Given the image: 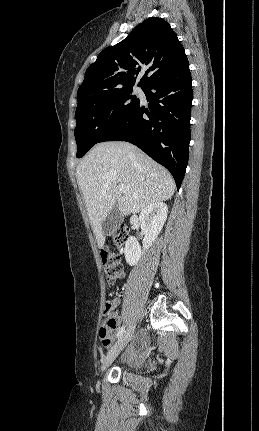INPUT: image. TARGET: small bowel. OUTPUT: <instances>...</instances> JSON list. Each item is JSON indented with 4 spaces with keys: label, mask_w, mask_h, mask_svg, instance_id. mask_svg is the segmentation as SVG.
<instances>
[{
    "label": "small bowel",
    "mask_w": 259,
    "mask_h": 431,
    "mask_svg": "<svg viewBox=\"0 0 259 431\" xmlns=\"http://www.w3.org/2000/svg\"><path fill=\"white\" fill-rule=\"evenodd\" d=\"M111 303L113 305V308H115L119 305V299H114ZM118 325H119V321L117 320L116 327H118ZM113 336H114V334H111L110 344L105 346L106 348L110 347ZM145 341H146L145 335H143V334L140 335V337L134 342V345H133L134 350H141L145 344Z\"/></svg>",
    "instance_id": "1"
}]
</instances>
